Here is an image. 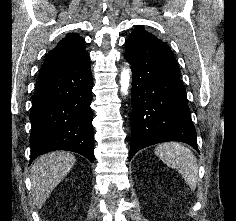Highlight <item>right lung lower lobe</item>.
Returning <instances> with one entry per match:
<instances>
[{
  "mask_svg": "<svg viewBox=\"0 0 236 221\" xmlns=\"http://www.w3.org/2000/svg\"><path fill=\"white\" fill-rule=\"evenodd\" d=\"M92 85L89 58L40 73L30 114V163L54 150L77 152L94 161Z\"/></svg>",
  "mask_w": 236,
  "mask_h": 221,
  "instance_id": "right-lung-lower-lobe-1",
  "label": "right lung lower lobe"
}]
</instances>
